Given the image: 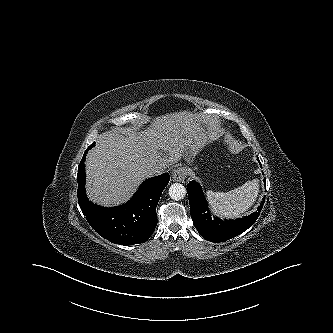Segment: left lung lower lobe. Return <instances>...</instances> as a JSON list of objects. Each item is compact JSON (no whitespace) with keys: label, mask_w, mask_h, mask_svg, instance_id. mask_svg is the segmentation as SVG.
Masks as SVG:
<instances>
[{"label":"left lung lower lobe","mask_w":333,"mask_h":333,"mask_svg":"<svg viewBox=\"0 0 333 333\" xmlns=\"http://www.w3.org/2000/svg\"><path fill=\"white\" fill-rule=\"evenodd\" d=\"M264 182L266 186L265 179ZM187 192L193 224L200 235L211 242L227 241L246 231L257 220L265 202L264 197L258 211L247 217L223 221L215 217L212 219L209 212H206L208 210L207 202L197 182L194 180L189 182Z\"/></svg>","instance_id":"obj_1"}]
</instances>
